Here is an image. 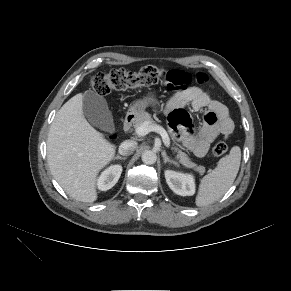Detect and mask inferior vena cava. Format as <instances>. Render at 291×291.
Listing matches in <instances>:
<instances>
[{
	"label": "inferior vena cava",
	"mask_w": 291,
	"mask_h": 291,
	"mask_svg": "<svg viewBox=\"0 0 291 291\" xmlns=\"http://www.w3.org/2000/svg\"><path fill=\"white\" fill-rule=\"evenodd\" d=\"M137 147V142L133 140H126L119 146V153L123 156H127L133 153Z\"/></svg>",
	"instance_id": "1"
}]
</instances>
